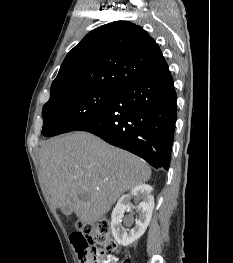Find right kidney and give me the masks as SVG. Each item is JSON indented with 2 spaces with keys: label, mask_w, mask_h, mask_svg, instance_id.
<instances>
[{
  "label": "right kidney",
  "mask_w": 233,
  "mask_h": 263,
  "mask_svg": "<svg viewBox=\"0 0 233 263\" xmlns=\"http://www.w3.org/2000/svg\"><path fill=\"white\" fill-rule=\"evenodd\" d=\"M153 188L148 184H141L131 190L129 194L123 195L117 202L111 215V229L115 240L123 246H128L138 240L146 231L154 209V197L151 195ZM135 198L139 203L137 206V218L135 227L131 230L121 225L124 212L132 207L131 199ZM132 220L128 222L130 226Z\"/></svg>",
  "instance_id": "ca27d5eb"
}]
</instances>
